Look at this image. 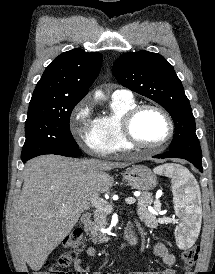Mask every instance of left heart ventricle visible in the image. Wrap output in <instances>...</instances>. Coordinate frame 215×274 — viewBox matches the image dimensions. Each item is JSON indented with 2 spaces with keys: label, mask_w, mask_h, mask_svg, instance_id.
I'll use <instances>...</instances> for the list:
<instances>
[{
  "label": "left heart ventricle",
  "mask_w": 215,
  "mask_h": 274,
  "mask_svg": "<svg viewBox=\"0 0 215 274\" xmlns=\"http://www.w3.org/2000/svg\"><path fill=\"white\" fill-rule=\"evenodd\" d=\"M134 133L143 143L155 144L163 140L168 133L165 118L155 110H144L134 122Z\"/></svg>",
  "instance_id": "left-heart-ventricle-1"
}]
</instances>
